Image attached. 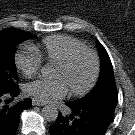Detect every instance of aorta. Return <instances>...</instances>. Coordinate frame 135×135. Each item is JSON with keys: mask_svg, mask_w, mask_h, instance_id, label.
Masks as SVG:
<instances>
[{"mask_svg": "<svg viewBox=\"0 0 135 135\" xmlns=\"http://www.w3.org/2000/svg\"><path fill=\"white\" fill-rule=\"evenodd\" d=\"M41 74L43 77L48 78L51 76V70L48 67H42ZM42 117L48 122H53L58 117V110L53 105H46L42 109Z\"/></svg>", "mask_w": 135, "mask_h": 135, "instance_id": "762f6f07", "label": "aorta"}]
</instances>
